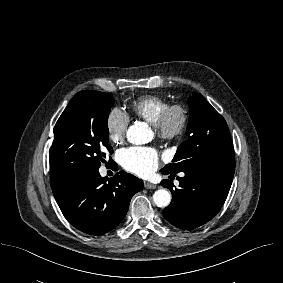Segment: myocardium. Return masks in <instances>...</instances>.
<instances>
[{"label":"myocardium","instance_id":"myocardium-1","mask_svg":"<svg viewBox=\"0 0 283 283\" xmlns=\"http://www.w3.org/2000/svg\"><path fill=\"white\" fill-rule=\"evenodd\" d=\"M190 114L186 105L171 103L163 110L154 125L158 137L162 140H177L186 132Z\"/></svg>","mask_w":283,"mask_h":283}]
</instances>
